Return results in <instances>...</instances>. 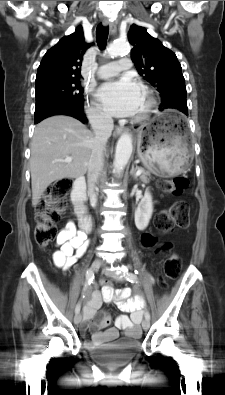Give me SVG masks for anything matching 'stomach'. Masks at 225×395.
I'll use <instances>...</instances> for the list:
<instances>
[{"instance_id":"1","label":"stomach","mask_w":225,"mask_h":395,"mask_svg":"<svg viewBox=\"0 0 225 395\" xmlns=\"http://www.w3.org/2000/svg\"><path fill=\"white\" fill-rule=\"evenodd\" d=\"M182 121L176 111L166 110L141 127L137 152L152 173L174 176L189 166L193 152Z\"/></svg>"}]
</instances>
